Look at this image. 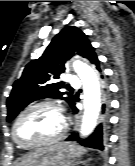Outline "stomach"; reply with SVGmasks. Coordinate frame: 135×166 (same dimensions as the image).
Wrapping results in <instances>:
<instances>
[{"label": "stomach", "mask_w": 135, "mask_h": 166, "mask_svg": "<svg viewBox=\"0 0 135 166\" xmlns=\"http://www.w3.org/2000/svg\"><path fill=\"white\" fill-rule=\"evenodd\" d=\"M74 145L57 144L33 152L24 166H70V159L77 157Z\"/></svg>", "instance_id": "1"}]
</instances>
